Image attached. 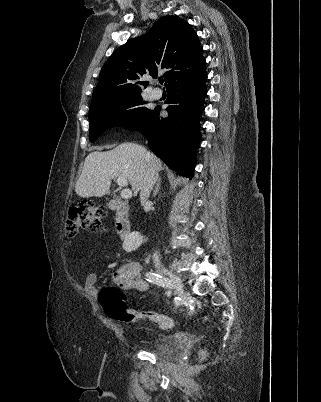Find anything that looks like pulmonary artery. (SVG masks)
Segmentation results:
<instances>
[{
  "mask_svg": "<svg viewBox=\"0 0 321 402\" xmlns=\"http://www.w3.org/2000/svg\"><path fill=\"white\" fill-rule=\"evenodd\" d=\"M151 97L153 99H159L161 97V91L159 89H153L151 91Z\"/></svg>",
  "mask_w": 321,
  "mask_h": 402,
  "instance_id": "1",
  "label": "pulmonary artery"
}]
</instances>
